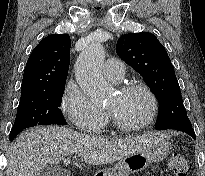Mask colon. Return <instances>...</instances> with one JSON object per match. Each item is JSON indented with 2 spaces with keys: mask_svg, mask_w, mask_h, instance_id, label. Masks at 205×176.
<instances>
[{
  "mask_svg": "<svg viewBox=\"0 0 205 176\" xmlns=\"http://www.w3.org/2000/svg\"><path fill=\"white\" fill-rule=\"evenodd\" d=\"M168 164L175 176H188V164L183 154L173 153Z\"/></svg>",
  "mask_w": 205,
  "mask_h": 176,
  "instance_id": "obj_1",
  "label": "colon"
}]
</instances>
